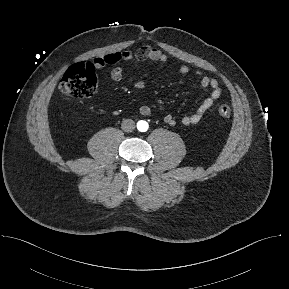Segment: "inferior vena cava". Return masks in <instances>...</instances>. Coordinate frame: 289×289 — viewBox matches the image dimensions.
Listing matches in <instances>:
<instances>
[{"label":"inferior vena cava","instance_id":"602c4592","mask_svg":"<svg viewBox=\"0 0 289 289\" xmlns=\"http://www.w3.org/2000/svg\"><path fill=\"white\" fill-rule=\"evenodd\" d=\"M121 128L124 132H132L135 129V122L132 119L122 121Z\"/></svg>","mask_w":289,"mask_h":289}]
</instances>
